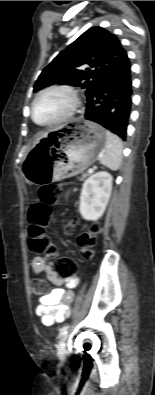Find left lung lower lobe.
Here are the masks:
<instances>
[{"label":"left lung lower lobe","instance_id":"0a47b994","mask_svg":"<svg viewBox=\"0 0 155 395\" xmlns=\"http://www.w3.org/2000/svg\"><path fill=\"white\" fill-rule=\"evenodd\" d=\"M131 96V64L126 56L103 76L95 91L87 97L85 118L126 140Z\"/></svg>","mask_w":155,"mask_h":395}]
</instances>
